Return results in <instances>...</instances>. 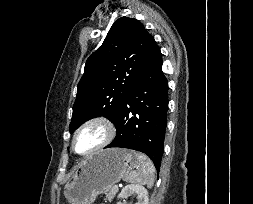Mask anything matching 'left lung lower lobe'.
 Here are the masks:
<instances>
[{
	"label": "left lung lower lobe",
	"mask_w": 253,
	"mask_h": 204,
	"mask_svg": "<svg viewBox=\"0 0 253 204\" xmlns=\"http://www.w3.org/2000/svg\"><path fill=\"white\" fill-rule=\"evenodd\" d=\"M168 81L157 46L114 122L117 134L106 148L121 147L147 154L159 171L167 127Z\"/></svg>",
	"instance_id": "1"
}]
</instances>
